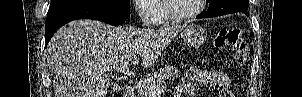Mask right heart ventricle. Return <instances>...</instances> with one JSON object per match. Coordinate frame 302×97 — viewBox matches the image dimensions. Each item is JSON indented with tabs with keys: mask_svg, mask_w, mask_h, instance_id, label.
Listing matches in <instances>:
<instances>
[{
	"mask_svg": "<svg viewBox=\"0 0 302 97\" xmlns=\"http://www.w3.org/2000/svg\"><path fill=\"white\" fill-rule=\"evenodd\" d=\"M154 6L158 14L157 24L161 26L169 25L172 20L165 11V1H157Z\"/></svg>",
	"mask_w": 302,
	"mask_h": 97,
	"instance_id": "right-heart-ventricle-1",
	"label": "right heart ventricle"
}]
</instances>
